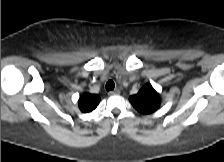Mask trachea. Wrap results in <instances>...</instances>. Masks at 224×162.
Instances as JSON below:
<instances>
[{
    "instance_id": "obj_1",
    "label": "trachea",
    "mask_w": 224,
    "mask_h": 162,
    "mask_svg": "<svg viewBox=\"0 0 224 162\" xmlns=\"http://www.w3.org/2000/svg\"><path fill=\"white\" fill-rule=\"evenodd\" d=\"M106 90L107 91H112L114 88H115V84L112 80H109L107 83H106Z\"/></svg>"
}]
</instances>
